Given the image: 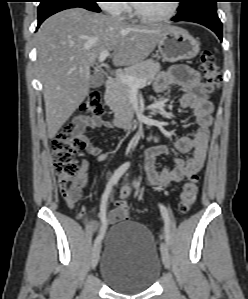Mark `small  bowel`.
<instances>
[{"mask_svg": "<svg viewBox=\"0 0 248 299\" xmlns=\"http://www.w3.org/2000/svg\"><path fill=\"white\" fill-rule=\"evenodd\" d=\"M172 87H178L182 90L179 105L183 109L192 111L197 130L193 136H182L177 139L175 149L179 153H190V157L187 160L175 157L174 167L171 169L158 168L157 166V158L169 153L165 145L155 144L145 151L142 158L143 165L147 183L151 186L167 187L197 174L203 167L209 144L213 105L207 97L200 73L187 67H174L157 77L154 90L158 95H163ZM110 127L112 124L100 117L80 116L74 121V133L82 136L86 152L93 157H102L103 149L93 144L90 138L84 135V132ZM83 166L86 167L87 163L83 162ZM84 182H86V178ZM130 192L131 187L126 184L120 192V198L126 199ZM119 206L120 204L107 215L106 223L113 224L121 220L118 213ZM78 218L84 222L89 230H94L98 226L96 221L86 219L82 214H79Z\"/></svg>", "mask_w": 248, "mask_h": 299, "instance_id": "c3829d8e", "label": "small bowel"}]
</instances>
